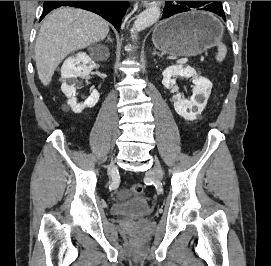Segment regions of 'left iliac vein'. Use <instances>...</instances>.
<instances>
[{"label":"left iliac vein","instance_id":"1","mask_svg":"<svg viewBox=\"0 0 271 266\" xmlns=\"http://www.w3.org/2000/svg\"><path fill=\"white\" fill-rule=\"evenodd\" d=\"M155 162H156V165L153 170V174H154L155 179L160 181L163 178V172H162L161 166L159 165L158 161L155 160Z\"/></svg>","mask_w":271,"mask_h":266}]
</instances>
